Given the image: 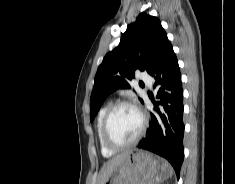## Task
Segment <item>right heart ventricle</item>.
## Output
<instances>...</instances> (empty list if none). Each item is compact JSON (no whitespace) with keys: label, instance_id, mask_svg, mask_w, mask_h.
<instances>
[{"label":"right heart ventricle","instance_id":"1","mask_svg":"<svg viewBox=\"0 0 235 184\" xmlns=\"http://www.w3.org/2000/svg\"><path fill=\"white\" fill-rule=\"evenodd\" d=\"M111 105H112L111 103H107L104 106H102V108L100 109L98 113L97 122H96V138L100 146L101 152L105 157H112L116 153L114 151L109 150L105 146L103 139H102V127H103L104 117Z\"/></svg>","mask_w":235,"mask_h":184}]
</instances>
